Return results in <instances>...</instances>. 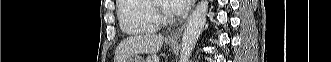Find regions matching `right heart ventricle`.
<instances>
[{
  "label": "right heart ventricle",
  "instance_id": "obj_1",
  "mask_svg": "<svg viewBox=\"0 0 331 62\" xmlns=\"http://www.w3.org/2000/svg\"><path fill=\"white\" fill-rule=\"evenodd\" d=\"M117 16L120 28L126 34L139 35L157 30V23L147 0H120Z\"/></svg>",
  "mask_w": 331,
  "mask_h": 62
}]
</instances>
